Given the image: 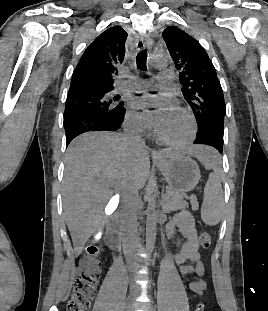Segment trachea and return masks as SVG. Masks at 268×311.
<instances>
[{
	"instance_id": "trachea-1",
	"label": "trachea",
	"mask_w": 268,
	"mask_h": 311,
	"mask_svg": "<svg viewBox=\"0 0 268 311\" xmlns=\"http://www.w3.org/2000/svg\"><path fill=\"white\" fill-rule=\"evenodd\" d=\"M146 61H147V51L146 50L140 51L136 57L137 68L139 70L145 71L147 68Z\"/></svg>"
}]
</instances>
